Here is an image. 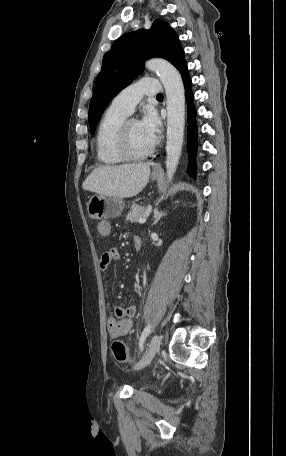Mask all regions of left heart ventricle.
Segmentation results:
<instances>
[{
	"mask_svg": "<svg viewBox=\"0 0 286 456\" xmlns=\"http://www.w3.org/2000/svg\"><path fill=\"white\" fill-rule=\"evenodd\" d=\"M129 132V147L132 153L141 154L146 152L153 141L142 130L140 124L136 120H132L128 127Z\"/></svg>",
	"mask_w": 286,
	"mask_h": 456,
	"instance_id": "left-heart-ventricle-1",
	"label": "left heart ventricle"
}]
</instances>
